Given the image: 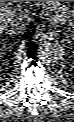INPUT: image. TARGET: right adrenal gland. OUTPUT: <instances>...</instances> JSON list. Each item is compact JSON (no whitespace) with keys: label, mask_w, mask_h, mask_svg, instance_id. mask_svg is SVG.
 <instances>
[{"label":"right adrenal gland","mask_w":74,"mask_h":122,"mask_svg":"<svg viewBox=\"0 0 74 122\" xmlns=\"http://www.w3.org/2000/svg\"><path fill=\"white\" fill-rule=\"evenodd\" d=\"M20 33H22V32L21 31H16L14 29H11L10 31L5 32V34H7V35H9V34H15V35H17V34H20Z\"/></svg>","instance_id":"obj_1"}]
</instances>
